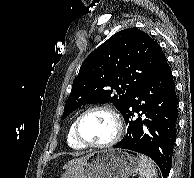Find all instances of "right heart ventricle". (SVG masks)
<instances>
[{
  "mask_svg": "<svg viewBox=\"0 0 194 178\" xmlns=\"http://www.w3.org/2000/svg\"><path fill=\"white\" fill-rule=\"evenodd\" d=\"M73 125L74 122L70 125L68 133H67V144L70 148L74 149V150H81L84 149L85 147L82 146L74 137L73 134Z\"/></svg>",
  "mask_w": 194,
  "mask_h": 178,
  "instance_id": "e07e8e85",
  "label": "right heart ventricle"
}]
</instances>
